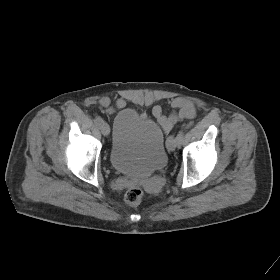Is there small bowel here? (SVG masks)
I'll return each instance as SVG.
<instances>
[{
	"instance_id": "small-bowel-1",
	"label": "small bowel",
	"mask_w": 280,
	"mask_h": 280,
	"mask_svg": "<svg viewBox=\"0 0 280 280\" xmlns=\"http://www.w3.org/2000/svg\"><path fill=\"white\" fill-rule=\"evenodd\" d=\"M100 104L104 110L108 113H112L114 109H122L126 106L124 99H118L113 106L109 97H103L100 100ZM171 106L173 111L169 115H164L160 106L153 107V115L164 128L166 132H169L173 126L180 120L192 119L196 115V109L194 104L182 97H175L171 100Z\"/></svg>"
}]
</instances>
